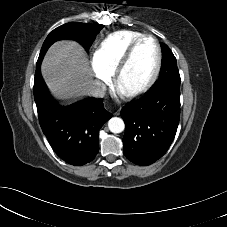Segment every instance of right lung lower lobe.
I'll use <instances>...</instances> for the list:
<instances>
[{"label": "right lung lower lobe", "mask_w": 227, "mask_h": 227, "mask_svg": "<svg viewBox=\"0 0 227 227\" xmlns=\"http://www.w3.org/2000/svg\"><path fill=\"white\" fill-rule=\"evenodd\" d=\"M41 62L37 61L33 91L42 131L62 160L75 166L84 165L97 155L99 130L112 114L105 110L102 99L58 105L41 76Z\"/></svg>", "instance_id": "right-lung-lower-lobe-1"}]
</instances>
